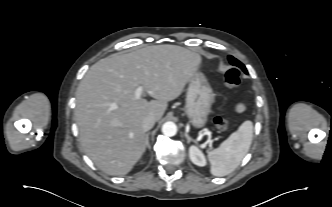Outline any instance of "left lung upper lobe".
<instances>
[{"mask_svg":"<svg viewBox=\"0 0 332 207\" xmlns=\"http://www.w3.org/2000/svg\"><path fill=\"white\" fill-rule=\"evenodd\" d=\"M228 59L233 66H237L247 73L245 66L239 60L235 59L233 56H228Z\"/></svg>","mask_w":332,"mask_h":207,"instance_id":"5c2ea615","label":"left lung upper lobe"}]
</instances>
